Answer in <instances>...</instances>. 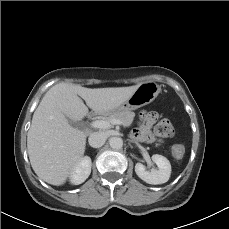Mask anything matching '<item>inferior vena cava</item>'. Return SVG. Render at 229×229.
Wrapping results in <instances>:
<instances>
[{"label": "inferior vena cava", "mask_w": 229, "mask_h": 229, "mask_svg": "<svg viewBox=\"0 0 229 229\" xmlns=\"http://www.w3.org/2000/svg\"><path fill=\"white\" fill-rule=\"evenodd\" d=\"M105 141L106 137L104 136V134L99 132L92 133L88 138L89 145L93 148H99L103 146Z\"/></svg>", "instance_id": "602c4592"}]
</instances>
